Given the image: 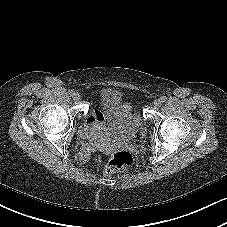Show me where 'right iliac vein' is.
Here are the masks:
<instances>
[{"instance_id": "right-iliac-vein-1", "label": "right iliac vein", "mask_w": 227, "mask_h": 227, "mask_svg": "<svg viewBox=\"0 0 227 227\" xmlns=\"http://www.w3.org/2000/svg\"><path fill=\"white\" fill-rule=\"evenodd\" d=\"M74 101H78L80 99V94L79 93H74V95L72 96Z\"/></svg>"}]
</instances>
